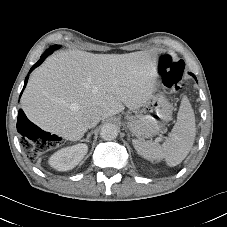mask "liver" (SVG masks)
<instances>
[{"instance_id":"liver-1","label":"liver","mask_w":227,"mask_h":227,"mask_svg":"<svg viewBox=\"0 0 227 227\" xmlns=\"http://www.w3.org/2000/svg\"><path fill=\"white\" fill-rule=\"evenodd\" d=\"M158 54L73 50L52 55L30 77L22 109L41 129L78 141L88 129V114L106 119L125 106L131 110L144 106L157 90Z\"/></svg>"}]
</instances>
